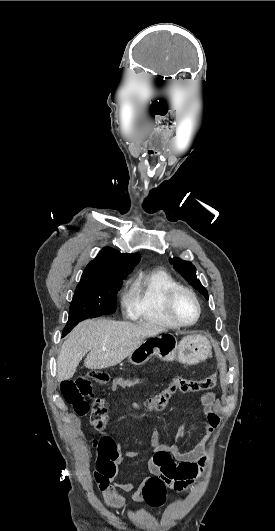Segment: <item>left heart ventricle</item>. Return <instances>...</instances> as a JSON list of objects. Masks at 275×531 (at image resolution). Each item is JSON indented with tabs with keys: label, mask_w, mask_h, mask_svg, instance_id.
<instances>
[{
	"label": "left heart ventricle",
	"mask_w": 275,
	"mask_h": 531,
	"mask_svg": "<svg viewBox=\"0 0 275 531\" xmlns=\"http://www.w3.org/2000/svg\"><path fill=\"white\" fill-rule=\"evenodd\" d=\"M175 316L182 322H191L197 315V307L194 300L186 293L179 292L173 300Z\"/></svg>",
	"instance_id": "left-heart-ventricle-1"
}]
</instances>
